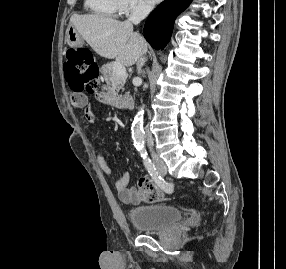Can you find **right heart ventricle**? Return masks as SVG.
<instances>
[{"label": "right heart ventricle", "mask_w": 286, "mask_h": 269, "mask_svg": "<svg viewBox=\"0 0 286 269\" xmlns=\"http://www.w3.org/2000/svg\"><path fill=\"white\" fill-rule=\"evenodd\" d=\"M85 8L90 13L105 18H115L120 12L119 0H85Z\"/></svg>", "instance_id": "e07e8e85"}]
</instances>
